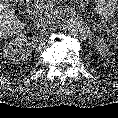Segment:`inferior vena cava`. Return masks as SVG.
Listing matches in <instances>:
<instances>
[{"mask_svg": "<svg viewBox=\"0 0 118 118\" xmlns=\"http://www.w3.org/2000/svg\"><path fill=\"white\" fill-rule=\"evenodd\" d=\"M54 23V20L51 16L45 14L37 19L35 26L37 29L45 30L48 26Z\"/></svg>", "mask_w": 118, "mask_h": 118, "instance_id": "602c4592", "label": "inferior vena cava"}]
</instances>
